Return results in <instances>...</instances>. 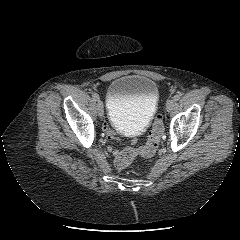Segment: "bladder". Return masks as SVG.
Returning a JSON list of instances; mask_svg holds the SVG:
<instances>
[{
  "mask_svg": "<svg viewBox=\"0 0 240 240\" xmlns=\"http://www.w3.org/2000/svg\"><path fill=\"white\" fill-rule=\"evenodd\" d=\"M158 102V86L146 76H122L108 87L109 120L115 129L125 134L136 135L144 131L157 111Z\"/></svg>",
  "mask_w": 240,
  "mask_h": 240,
  "instance_id": "31cf9c89",
  "label": "bladder"
}]
</instances>
